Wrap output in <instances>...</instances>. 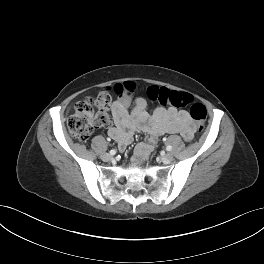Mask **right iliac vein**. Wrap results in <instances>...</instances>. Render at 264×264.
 <instances>
[{
	"mask_svg": "<svg viewBox=\"0 0 264 264\" xmlns=\"http://www.w3.org/2000/svg\"><path fill=\"white\" fill-rule=\"evenodd\" d=\"M101 157L104 161H110L113 159L112 155L108 153H104Z\"/></svg>",
	"mask_w": 264,
	"mask_h": 264,
	"instance_id": "1",
	"label": "right iliac vein"
}]
</instances>
